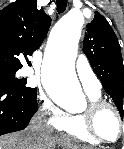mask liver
<instances>
[{
    "instance_id": "1",
    "label": "liver",
    "mask_w": 124,
    "mask_h": 149,
    "mask_svg": "<svg viewBox=\"0 0 124 149\" xmlns=\"http://www.w3.org/2000/svg\"><path fill=\"white\" fill-rule=\"evenodd\" d=\"M55 140L45 130L30 133L29 130L0 137V149H51ZM79 149V146H75ZM81 149H91L87 146Z\"/></svg>"
}]
</instances>
